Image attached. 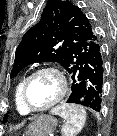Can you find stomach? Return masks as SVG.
<instances>
[{
  "label": "stomach",
  "instance_id": "stomach-1",
  "mask_svg": "<svg viewBox=\"0 0 117 136\" xmlns=\"http://www.w3.org/2000/svg\"><path fill=\"white\" fill-rule=\"evenodd\" d=\"M57 120L50 115H41L29 124L23 136H48L56 129Z\"/></svg>",
  "mask_w": 117,
  "mask_h": 136
}]
</instances>
